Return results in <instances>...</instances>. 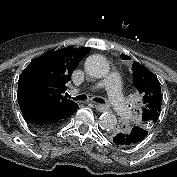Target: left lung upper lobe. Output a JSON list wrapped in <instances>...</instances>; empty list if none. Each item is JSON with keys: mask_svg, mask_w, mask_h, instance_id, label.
I'll list each match as a JSON object with an SVG mask.
<instances>
[{"mask_svg": "<svg viewBox=\"0 0 177 177\" xmlns=\"http://www.w3.org/2000/svg\"><path fill=\"white\" fill-rule=\"evenodd\" d=\"M132 71L134 85L139 92V103L141 105V116L136 125L149 131L157 123L161 113L160 82L155 75L138 62L133 63Z\"/></svg>", "mask_w": 177, "mask_h": 177, "instance_id": "left-lung-upper-lobe-1", "label": "left lung upper lobe"}]
</instances>
